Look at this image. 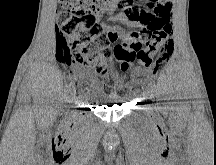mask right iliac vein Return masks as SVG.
I'll return each mask as SVG.
<instances>
[{
    "mask_svg": "<svg viewBox=\"0 0 216 165\" xmlns=\"http://www.w3.org/2000/svg\"><path fill=\"white\" fill-rule=\"evenodd\" d=\"M77 102L74 100L72 103H70L68 106L71 108L72 106H74Z\"/></svg>",
    "mask_w": 216,
    "mask_h": 165,
    "instance_id": "1",
    "label": "right iliac vein"
}]
</instances>
